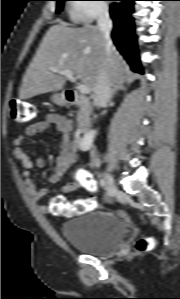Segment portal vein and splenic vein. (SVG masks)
<instances>
[{
	"label": "portal vein and splenic vein",
	"mask_w": 180,
	"mask_h": 299,
	"mask_svg": "<svg viewBox=\"0 0 180 299\" xmlns=\"http://www.w3.org/2000/svg\"><path fill=\"white\" fill-rule=\"evenodd\" d=\"M50 70L54 73L65 76L71 82L76 83V78L74 77V74L71 71H69V70H59L55 67H51ZM76 89L82 94L90 93L89 87L87 85H84V84H77Z\"/></svg>",
	"instance_id": "18ae733b"
}]
</instances>
